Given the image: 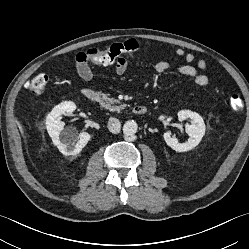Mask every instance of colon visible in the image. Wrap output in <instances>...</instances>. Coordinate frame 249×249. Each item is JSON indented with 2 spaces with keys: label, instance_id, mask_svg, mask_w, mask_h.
Listing matches in <instances>:
<instances>
[{
  "label": "colon",
  "instance_id": "5ec220e1",
  "mask_svg": "<svg viewBox=\"0 0 249 249\" xmlns=\"http://www.w3.org/2000/svg\"><path fill=\"white\" fill-rule=\"evenodd\" d=\"M140 44L136 41L116 43L105 49H92L85 53L86 60L94 64H108L125 55H132L139 50ZM49 77L40 73L27 82V88L34 94H41L46 90ZM229 108L233 112H240L244 103L239 95H231L228 100Z\"/></svg>",
  "mask_w": 249,
  "mask_h": 249
}]
</instances>
